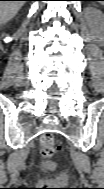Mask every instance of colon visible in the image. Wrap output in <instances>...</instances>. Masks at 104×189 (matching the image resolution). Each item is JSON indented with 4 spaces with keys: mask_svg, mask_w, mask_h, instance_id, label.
<instances>
[{
    "mask_svg": "<svg viewBox=\"0 0 104 189\" xmlns=\"http://www.w3.org/2000/svg\"><path fill=\"white\" fill-rule=\"evenodd\" d=\"M59 151L54 138L51 135H45L41 139L40 155L48 168H52L55 164L54 156Z\"/></svg>",
    "mask_w": 104,
    "mask_h": 189,
    "instance_id": "1",
    "label": "colon"
}]
</instances>
